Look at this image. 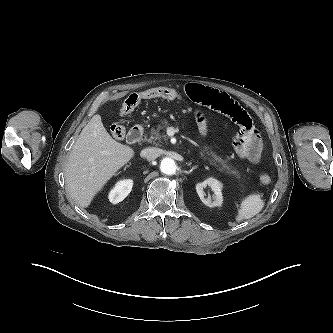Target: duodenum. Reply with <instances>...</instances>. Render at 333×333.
Masks as SVG:
<instances>
[{"instance_id":"obj_1","label":"duodenum","mask_w":333,"mask_h":333,"mask_svg":"<svg viewBox=\"0 0 333 333\" xmlns=\"http://www.w3.org/2000/svg\"><path fill=\"white\" fill-rule=\"evenodd\" d=\"M144 128L141 125H136L132 127L127 135V142L130 144H135L139 142L143 136Z\"/></svg>"}]
</instances>
